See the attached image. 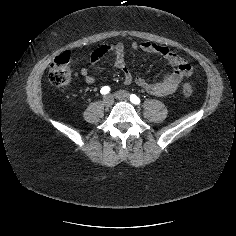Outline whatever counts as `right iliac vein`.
<instances>
[{"label":"right iliac vein","mask_w":236,"mask_h":236,"mask_svg":"<svg viewBox=\"0 0 236 236\" xmlns=\"http://www.w3.org/2000/svg\"><path fill=\"white\" fill-rule=\"evenodd\" d=\"M102 103L105 107H111L114 103V99L112 95H106L104 96Z\"/></svg>","instance_id":"63e3f726"}]
</instances>
